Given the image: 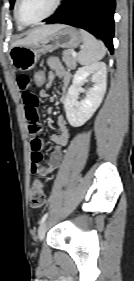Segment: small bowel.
I'll return each instance as SVG.
<instances>
[{
  "label": "small bowel",
  "instance_id": "1",
  "mask_svg": "<svg viewBox=\"0 0 134 281\" xmlns=\"http://www.w3.org/2000/svg\"><path fill=\"white\" fill-rule=\"evenodd\" d=\"M50 72L47 75V86L39 93L40 98L48 99L50 102L54 101L53 96L49 93V87L56 77L62 81V100H65L66 93L71 81V74L64 68L57 57H50L47 61ZM16 83L21 91V97L24 104L26 119L28 120L29 132L34 136L31 140V165L30 171L33 175L46 176L57 169L63 160V149L66 147L70 133L67 122L63 117H59L57 125L59 128L58 134H52L50 140L55 147L50 154L47 165H41L43 160V141L36 135L41 130L38 113V96L33 92L34 81L28 74H20L16 78Z\"/></svg>",
  "mask_w": 134,
  "mask_h": 281
}]
</instances>
